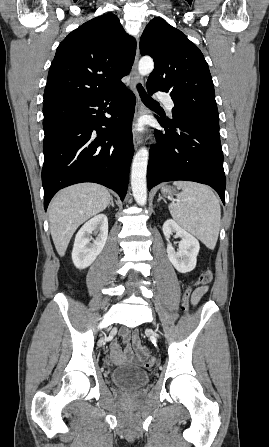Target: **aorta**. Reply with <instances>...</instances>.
Returning <instances> with one entry per match:
<instances>
[{"label": "aorta", "instance_id": "762f6f07", "mask_svg": "<svg viewBox=\"0 0 269 447\" xmlns=\"http://www.w3.org/2000/svg\"><path fill=\"white\" fill-rule=\"evenodd\" d=\"M154 70V62L150 56H143L138 64L140 76H148ZM149 152L147 148H140L133 158L131 172V188L135 202L145 206L147 200L146 172Z\"/></svg>", "mask_w": 269, "mask_h": 447}]
</instances>
